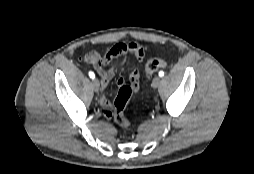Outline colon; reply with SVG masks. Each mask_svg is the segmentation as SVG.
Instances as JSON below:
<instances>
[{"label": "colon", "instance_id": "5ec220e1", "mask_svg": "<svg viewBox=\"0 0 254 174\" xmlns=\"http://www.w3.org/2000/svg\"><path fill=\"white\" fill-rule=\"evenodd\" d=\"M125 45V44H123ZM167 63L162 59H150L145 65V71L147 75H151L161 68H165ZM135 92L134 86L131 84L122 85L119 88L117 97L114 101V115L113 119L115 123L123 129H128L131 125L129 118L125 114L127 103L133 93Z\"/></svg>", "mask_w": 254, "mask_h": 174}]
</instances>
